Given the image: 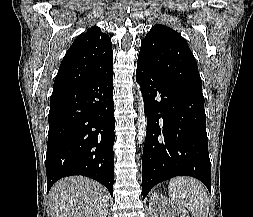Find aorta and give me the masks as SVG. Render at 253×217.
<instances>
[{"mask_svg": "<svg viewBox=\"0 0 253 217\" xmlns=\"http://www.w3.org/2000/svg\"><path fill=\"white\" fill-rule=\"evenodd\" d=\"M138 121H137V140L140 145H143L146 137V130H147V118L144 112V102L142 97V92L139 91L138 95Z\"/></svg>", "mask_w": 253, "mask_h": 217, "instance_id": "aorta-1", "label": "aorta"}]
</instances>
